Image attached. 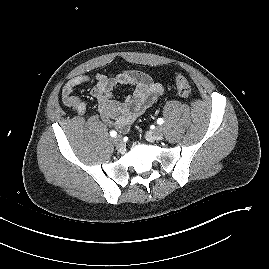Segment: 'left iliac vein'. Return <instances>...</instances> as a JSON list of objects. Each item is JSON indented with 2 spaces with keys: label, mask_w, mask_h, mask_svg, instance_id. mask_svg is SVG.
<instances>
[{
  "label": "left iliac vein",
  "mask_w": 269,
  "mask_h": 269,
  "mask_svg": "<svg viewBox=\"0 0 269 269\" xmlns=\"http://www.w3.org/2000/svg\"><path fill=\"white\" fill-rule=\"evenodd\" d=\"M149 137L153 138L154 140L162 139V137H163L162 127L158 126L154 130H152L149 134Z\"/></svg>",
  "instance_id": "1"
}]
</instances>
